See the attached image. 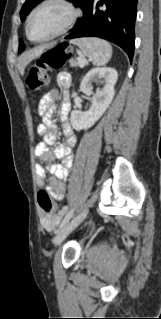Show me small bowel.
<instances>
[{
	"label": "small bowel",
	"instance_id": "obj_1",
	"mask_svg": "<svg viewBox=\"0 0 161 319\" xmlns=\"http://www.w3.org/2000/svg\"><path fill=\"white\" fill-rule=\"evenodd\" d=\"M69 79L67 72H60L56 77V83L59 88L50 90L41 100L38 113L42 117V124L38 126L37 131L43 135V141L39 142L35 147V154L41 161H53L56 158L64 159L63 164H52L46 168L39 166L36 171L37 179L40 185H43L46 176V169L50 173L48 190L56 201H62L65 197L66 181L69 177V169L73 165L71 158L72 149L77 143L76 135L68 122L67 118L71 111L69 102ZM61 89V107H60V122L62 126V133L65 137V143L57 144L54 151L50 152L49 146L57 142V125L53 122V115L56 110L55 101ZM68 206H62L56 212H42L40 215V224L43 229L53 231L63 219Z\"/></svg>",
	"mask_w": 161,
	"mask_h": 319
}]
</instances>
